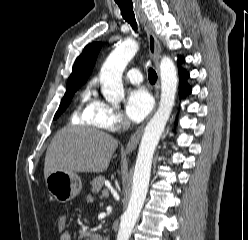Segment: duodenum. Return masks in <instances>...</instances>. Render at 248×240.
I'll return each instance as SVG.
<instances>
[{
  "mask_svg": "<svg viewBox=\"0 0 248 240\" xmlns=\"http://www.w3.org/2000/svg\"><path fill=\"white\" fill-rule=\"evenodd\" d=\"M97 240H109L107 237H98Z\"/></svg>",
  "mask_w": 248,
  "mask_h": 240,
  "instance_id": "obj_1",
  "label": "duodenum"
}]
</instances>
